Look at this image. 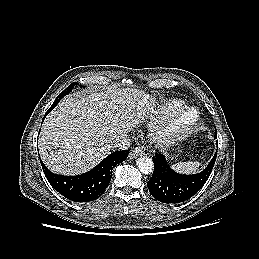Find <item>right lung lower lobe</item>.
<instances>
[{
	"instance_id": "98d812e1",
	"label": "right lung lower lobe",
	"mask_w": 259,
	"mask_h": 259,
	"mask_svg": "<svg viewBox=\"0 0 259 259\" xmlns=\"http://www.w3.org/2000/svg\"><path fill=\"white\" fill-rule=\"evenodd\" d=\"M50 111L48 110L45 116ZM128 154V150L111 153L89 172L76 176L57 175L52 173L44 163L41 162V165L47 180L57 192L75 202H89L104 193L110 183L112 169L126 160Z\"/></svg>"
}]
</instances>
